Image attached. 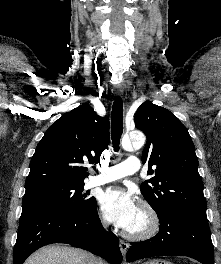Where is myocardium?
<instances>
[{
	"label": "myocardium",
	"mask_w": 221,
	"mask_h": 264,
	"mask_svg": "<svg viewBox=\"0 0 221 264\" xmlns=\"http://www.w3.org/2000/svg\"><path fill=\"white\" fill-rule=\"evenodd\" d=\"M139 210L143 213L145 222L138 230H125L127 238L132 240H145L155 236L160 229V219L156 210L148 203L141 202Z\"/></svg>",
	"instance_id": "1"
}]
</instances>
